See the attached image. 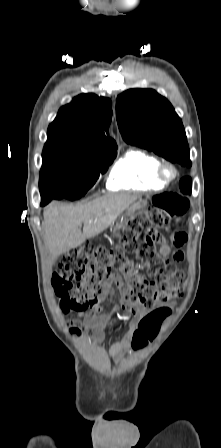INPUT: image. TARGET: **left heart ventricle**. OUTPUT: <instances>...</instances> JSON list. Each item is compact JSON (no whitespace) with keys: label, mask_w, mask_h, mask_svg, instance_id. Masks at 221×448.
I'll use <instances>...</instances> for the list:
<instances>
[{"label":"left heart ventricle","mask_w":221,"mask_h":448,"mask_svg":"<svg viewBox=\"0 0 221 448\" xmlns=\"http://www.w3.org/2000/svg\"><path fill=\"white\" fill-rule=\"evenodd\" d=\"M167 174H168V176H171L172 173H171V171H168Z\"/></svg>","instance_id":"1"}]
</instances>
